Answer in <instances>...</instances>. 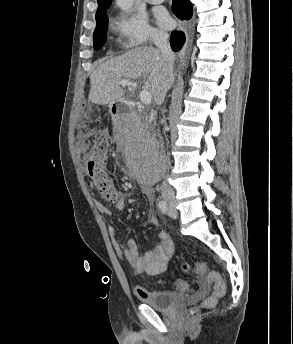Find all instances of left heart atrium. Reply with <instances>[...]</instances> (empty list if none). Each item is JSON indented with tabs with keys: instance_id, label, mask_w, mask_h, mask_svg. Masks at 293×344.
<instances>
[{
	"instance_id": "obj_1",
	"label": "left heart atrium",
	"mask_w": 293,
	"mask_h": 344,
	"mask_svg": "<svg viewBox=\"0 0 293 344\" xmlns=\"http://www.w3.org/2000/svg\"><path fill=\"white\" fill-rule=\"evenodd\" d=\"M156 19L159 25L164 28H168L171 25V19L165 11H157Z\"/></svg>"
}]
</instances>
